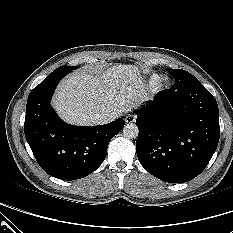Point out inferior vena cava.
<instances>
[{"label": "inferior vena cava", "instance_id": "inferior-vena-cava-1", "mask_svg": "<svg viewBox=\"0 0 233 233\" xmlns=\"http://www.w3.org/2000/svg\"><path fill=\"white\" fill-rule=\"evenodd\" d=\"M113 120L112 116L108 114H95L92 116V121L95 124H106Z\"/></svg>", "mask_w": 233, "mask_h": 233}]
</instances>
